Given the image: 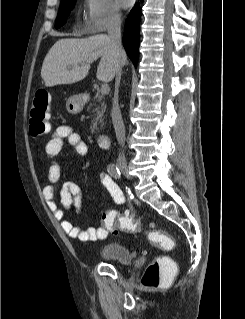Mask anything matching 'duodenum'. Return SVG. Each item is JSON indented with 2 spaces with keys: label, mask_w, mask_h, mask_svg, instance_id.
Here are the masks:
<instances>
[{
  "label": "duodenum",
  "mask_w": 245,
  "mask_h": 319,
  "mask_svg": "<svg viewBox=\"0 0 245 319\" xmlns=\"http://www.w3.org/2000/svg\"><path fill=\"white\" fill-rule=\"evenodd\" d=\"M98 145L101 149H109L110 148V135L107 133L100 134L98 136Z\"/></svg>",
  "instance_id": "duodenum-1"
}]
</instances>
